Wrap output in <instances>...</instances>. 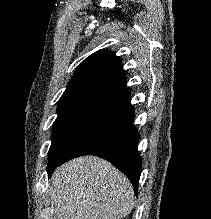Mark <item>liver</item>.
I'll return each instance as SVG.
<instances>
[{
	"mask_svg": "<svg viewBox=\"0 0 211 219\" xmlns=\"http://www.w3.org/2000/svg\"><path fill=\"white\" fill-rule=\"evenodd\" d=\"M50 197L57 219H121L134 205L128 178L96 156L79 157L58 167Z\"/></svg>",
	"mask_w": 211,
	"mask_h": 219,
	"instance_id": "6515ba94",
	"label": "liver"
}]
</instances>
